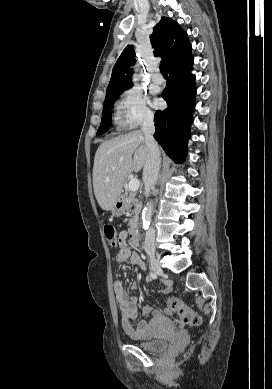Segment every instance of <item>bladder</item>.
Returning a JSON list of instances; mask_svg holds the SVG:
<instances>
[{
	"label": "bladder",
	"instance_id": "31cf9c89",
	"mask_svg": "<svg viewBox=\"0 0 272 389\" xmlns=\"http://www.w3.org/2000/svg\"><path fill=\"white\" fill-rule=\"evenodd\" d=\"M135 345L145 351L149 352H159L163 351L168 346V341L166 339H157V340H148V341H138Z\"/></svg>",
	"mask_w": 272,
	"mask_h": 389
}]
</instances>
